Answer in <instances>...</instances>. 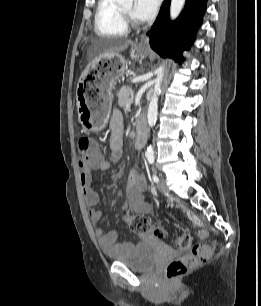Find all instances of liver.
<instances>
[{
	"instance_id": "liver-1",
	"label": "liver",
	"mask_w": 261,
	"mask_h": 306,
	"mask_svg": "<svg viewBox=\"0 0 261 306\" xmlns=\"http://www.w3.org/2000/svg\"><path fill=\"white\" fill-rule=\"evenodd\" d=\"M129 45H134L131 40H115L106 44L105 47L101 48V53L99 57L110 56L112 54L120 53L129 47Z\"/></svg>"
}]
</instances>
